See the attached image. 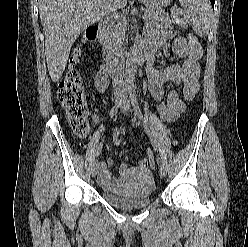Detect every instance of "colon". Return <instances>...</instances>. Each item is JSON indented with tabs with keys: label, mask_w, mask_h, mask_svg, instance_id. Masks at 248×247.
Masks as SVG:
<instances>
[{
	"label": "colon",
	"mask_w": 248,
	"mask_h": 247,
	"mask_svg": "<svg viewBox=\"0 0 248 247\" xmlns=\"http://www.w3.org/2000/svg\"><path fill=\"white\" fill-rule=\"evenodd\" d=\"M97 39L96 25L89 26L81 37L82 43L91 42ZM188 40L191 43H198L197 37L194 34L188 35ZM80 55L79 47L75 48L70 60L68 70L65 77L59 82L57 88V97L66 112L68 124L74 134L83 139L89 133V111L85 96V88L82 79L75 69ZM159 117L163 122L169 120L168 105L162 101L158 105ZM147 160L151 168H155L156 159L151 147L147 149Z\"/></svg>",
	"instance_id": "obj_1"
}]
</instances>
